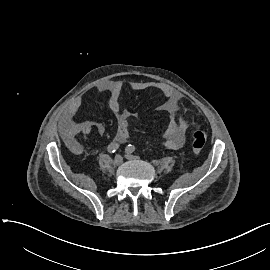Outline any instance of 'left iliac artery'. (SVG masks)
Segmentation results:
<instances>
[{"label":"left iliac artery","mask_w":270,"mask_h":270,"mask_svg":"<svg viewBox=\"0 0 270 270\" xmlns=\"http://www.w3.org/2000/svg\"><path fill=\"white\" fill-rule=\"evenodd\" d=\"M135 146L134 145H128L127 147H126V149H125V151L127 152V153H133L134 151H135Z\"/></svg>","instance_id":"obj_1"}]
</instances>
